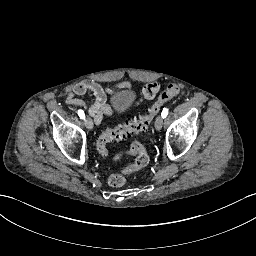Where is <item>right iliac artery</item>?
I'll return each mask as SVG.
<instances>
[{"mask_svg": "<svg viewBox=\"0 0 256 256\" xmlns=\"http://www.w3.org/2000/svg\"><path fill=\"white\" fill-rule=\"evenodd\" d=\"M78 115L81 119H85V114L83 110H78Z\"/></svg>", "mask_w": 256, "mask_h": 256, "instance_id": "obj_1", "label": "right iliac artery"}]
</instances>
